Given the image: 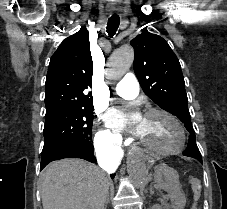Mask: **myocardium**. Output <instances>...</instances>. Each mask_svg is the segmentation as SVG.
Returning a JSON list of instances; mask_svg holds the SVG:
<instances>
[{
    "mask_svg": "<svg viewBox=\"0 0 227 209\" xmlns=\"http://www.w3.org/2000/svg\"><path fill=\"white\" fill-rule=\"evenodd\" d=\"M153 114L164 115L176 126V128L179 132V137H180L178 145L171 149H166V150L160 149V148L152 146L151 144H149L148 142H146L145 140H143L136 134L135 136H136V139L138 140V143L143 148H145L147 151H149L153 154H156V155H160V156H169V155H174V154L181 152L186 144V131H185V128L182 125L181 121L173 113H171L170 111H168L166 109H162V108L149 109L145 113L144 117L153 115Z\"/></svg>",
    "mask_w": 227,
    "mask_h": 209,
    "instance_id": "myocardium-1",
    "label": "myocardium"
}]
</instances>
